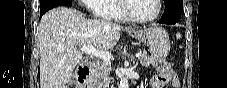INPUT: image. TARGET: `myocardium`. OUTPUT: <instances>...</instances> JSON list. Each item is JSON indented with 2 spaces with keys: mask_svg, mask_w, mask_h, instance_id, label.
Wrapping results in <instances>:
<instances>
[{
  "mask_svg": "<svg viewBox=\"0 0 227 88\" xmlns=\"http://www.w3.org/2000/svg\"><path fill=\"white\" fill-rule=\"evenodd\" d=\"M130 1H132V0H121L120 1V11H121V14L124 16V18L132 23H136V24L151 23V22L155 21L161 13V1L155 0V4H156V8H157L155 15H153L150 18H144V19L133 17L128 11V2H130Z\"/></svg>",
  "mask_w": 227,
  "mask_h": 88,
  "instance_id": "f54148a6",
  "label": "myocardium"
}]
</instances>
